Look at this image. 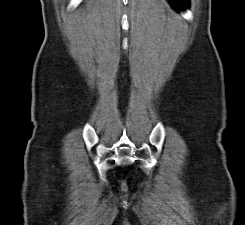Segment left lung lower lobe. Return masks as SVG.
<instances>
[{"mask_svg":"<svg viewBox=\"0 0 245 225\" xmlns=\"http://www.w3.org/2000/svg\"><path fill=\"white\" fill-rule=\"evenodd\" d=\"M170 2L174 5V7H188V0H170Z\"/></svg>","mask_w":245,"mask_h":225,"instance_id":"1","label":"left lung lower lobe"}]
</instances>
